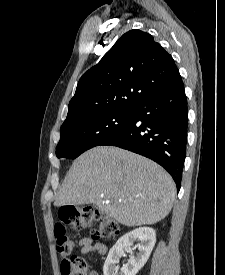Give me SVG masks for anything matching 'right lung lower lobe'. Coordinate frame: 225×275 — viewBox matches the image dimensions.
Masks as SVG:
<instances>
[{
	"label": "right lung lower lobe",
	"instance_id": "right-lung-lower-lobe-1",
	"mask_svg": "<svg viewBox=\"0 0 225 275\" xmlns=\"http://www.w3.org/2000/svg\"><path fill=\"white\" fill-rule=\"evenodd\" d=\"M184 85L157 92L138 102L128 122L99 145H112L148 157L163 166L181 187L187 144Z\"/></svg>",
	"mask_w": 225,
	"mask_h": 275
}]
</instances>
